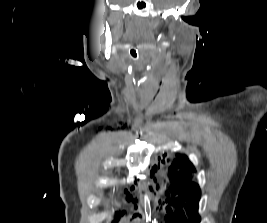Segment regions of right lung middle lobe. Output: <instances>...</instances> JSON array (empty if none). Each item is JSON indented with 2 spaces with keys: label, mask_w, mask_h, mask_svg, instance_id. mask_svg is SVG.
Instances as JSON below:
<instances>
[{
  "label": "right lung middle lobe",
  "mask_w": 267,
  "mask_h": 223,
  "mask_svg": "<svg viewBox=\"0 0 267 223\" xmlns=\"http://www.w3.org/2000/svg\"><path fill=\"white\" fill-rule=\"evenodd\" d=\"M124 214V212H121V213H116V217H120Z\"/></svg>",
  "instance_id": "1"
}]
</instances>
